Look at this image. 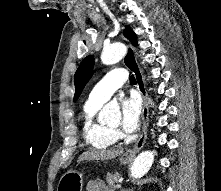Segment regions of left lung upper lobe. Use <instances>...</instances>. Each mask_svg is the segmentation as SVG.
Listing matches in <instances>:
<instances>
[{"label": "left lung upper lobe", "mask_w": 221, "mask_h": 191, "mask_svg": "<svg viewBox=\"0 0 221 191\" xmlns=\"http://www.w3.org/2000/svg\"><path fill=\"white\" fill-rule=\"evenodd\" d=\"M124 36L129 39L133 44L137 45V37L133 30L126 26L125 30L123 31ZM93 67H94V56L89 55L80 64L76 73H75V95L74 101L78 99L80 96L83 88L85 87L86 83L90 80L93 75Z\"/></svg>", "instance_id": "1"}]
</instances>
